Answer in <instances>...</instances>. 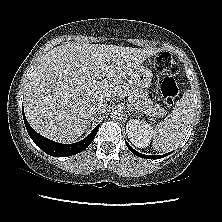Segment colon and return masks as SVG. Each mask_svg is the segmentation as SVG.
<instances>
[{"label": "colon", "mask_w": 222, "mask_h": 222, "mask_svg": "<svg viewBox=\"0 0 222 222\" xmlns=\"http://www.w3.org/2000/svg\"><path fill=\"white\" fill-rule=\"evenodd\" d=\"M155 67L165 76L161 84V93L166 105L172 106L179 93L174 77L180 72V67L167 52H162L156 56Z\"/></svg>", "instance_id": "obj_1"}]
</instances>
